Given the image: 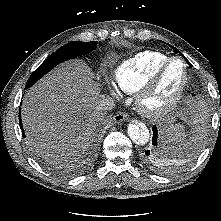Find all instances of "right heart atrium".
Instances as JSON below:
<instances>
[{
    "mask_svg": "<svg viewBox=\"0 0 221 221\" xmlns=\"http://www.w3.org/2000/svg\"><path fill=\"white\" fill-rule=\"evenodd\" d=\"M109 92L113 95V96H118L119 92L118 89L116 88V86L114 85H109L108 86Z\"/></svg>",
    "mask_w": 221,
    "mask_h": 221,
    "instance_id": "obj_1",
    "label": "right heart atrium"
}]
</instances>
